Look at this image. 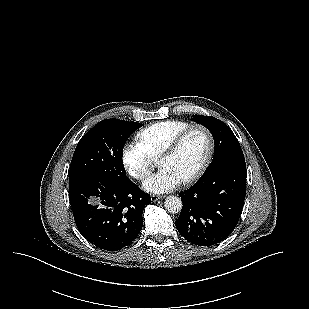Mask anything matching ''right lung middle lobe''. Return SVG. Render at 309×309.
<instances>
[{
	"instance_id": "1",
	"label": "right lung middle lobe",
	"mask_w": 309,
	"mask_h": 309,
	"mask_svg": "<svg viewBox=\"0 0 309 309\" xmlns=\"http://www.w3.org/2000/svg\"><path fill=\"white\" fill-rule=\"evenodd\" d=\"M142 124L119 119L100 121L79 141L70 165L69 182L84 176L129 181L122 162L124 145Z\"/></svg>"
}]
</instances>
